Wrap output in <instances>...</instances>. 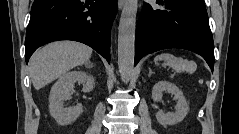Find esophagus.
<instances>
[{
	"instance_id": "1",
	"label": "esophagus",
	"mask_w": 239,
	"mask_h": 134,
	"mask_svg": "<svg viewBox=\"0 0 239 134\" xmlns=\"http://www.w3.org/2000/svg\"><path fill=\"white\" fill-rule=\"evenodd\" d=\"M125 3V0H118V7L121 9Z\"/></svg>"
}]
</instances>
